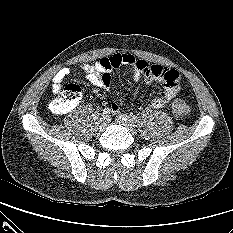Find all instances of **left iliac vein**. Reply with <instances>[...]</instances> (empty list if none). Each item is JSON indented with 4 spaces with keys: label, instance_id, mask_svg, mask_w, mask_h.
I'll return each instance as SVG.
<instances>
[{
    "label": "left iliac vein",
    "instance_id": "1",
    "mask_svg": "<svg viewBox=\"0 0 233 233\" xmlns=\"http://www.w3.org/2000/svg\"><path fill=\"white\" fill-rule=\"evenodd\" d=\"M116 120L119 124L125 126L129 131L134 132L135 123L129 116L120 114L117 116Z\"/></svg>",
    "mask_w": 233,
    "mask_h": 233
}]
</instances>
